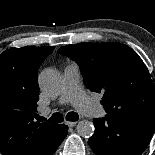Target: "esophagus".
<instances>
[{
  "label": "esophagus",
  "mask_w": 155,
  "mask_h": 155,
  "mask_svg": "<svg viewBox=\"0 0 155 155\" xmlns=\"http://www.w3.org/2000/svg\"><path fill=\"white\" fill-rule=\"evenodd\" d=\"M66 124L69 126V127H74L77 122H70V121H67Z\"/></svg>",
  "instance_id": "1"
}]
</instances>
